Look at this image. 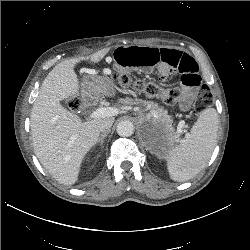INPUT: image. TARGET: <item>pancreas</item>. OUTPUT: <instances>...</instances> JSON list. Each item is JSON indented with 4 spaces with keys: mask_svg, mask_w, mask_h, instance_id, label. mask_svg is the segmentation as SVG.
I'll return each mask as SVG.
<instances>
[{
    "mask_svg": "<svg viewBox=\"0 0 250 250\" xmlns=\"http://www.w3.org/2000/svg\"><path fill=\"white\" fill-rule=\"evenodd\" d=\"M119 102L124 105L143 104L145 107H147L150 110L151 114L149 116L156 118L157 120H163V121L166 120L167 122H171V119L167 115V112L154 102L144 101V100H133L131 98L120 99ZM165 138L169 143H173L175 141V137L171 128L169 130V133L165 135Z\"/></svg>",
    "mask_w": 250,
    "mask_h": 250,
    "instance_id": "1",
    "label": "pancreas"
}]
</instances>
